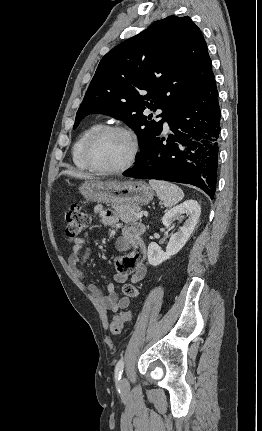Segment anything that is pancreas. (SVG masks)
<instances>
[{"instance_id":"1","label":"pancreas","mask_w":262,"mask_h":431,"mask_svg":"<svg viewBox=\"0 0 262 431\" xmlns=\"http://www.w3.org/2000/svg\"><path fill=\"white\" fill-rule=\"evenodd\" d=\"M114 209L121 221L125 223L137 221L138 218L136 216L141 211V207L139 206L127 205L116 206Z\"/></svg>"}]
</instances>
